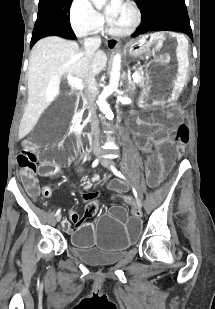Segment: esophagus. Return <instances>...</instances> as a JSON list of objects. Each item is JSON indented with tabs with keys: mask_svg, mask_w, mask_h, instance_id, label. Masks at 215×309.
<instances>
[{
	"mask_svg": "<svg viewBox=\"0 0 215 309\" xmlns=\"http://www.w3.org/2000/svg\"><path fill=\"white\" fill-rule=\"evenodd\" d=\"M119 43H120L119 40H117L115 38H110L107 41L106 45L109 48V50H115V48L118 47Z\"/></svg>",
	"mask_w": 215,
	"mask_h": 309,
	"instance_id": "obj_1",
	"label": "esophagus"
}]
</instances>
